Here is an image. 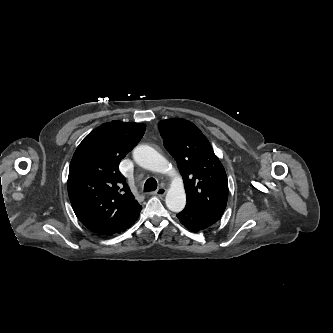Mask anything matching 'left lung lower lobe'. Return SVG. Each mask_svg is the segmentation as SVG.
I'll use <instances>...</instances> for the list:
<instances>
[{
  "label": "left lung lower lobe",
  "instance_id": "1",
  "mask_svg": "<svg viewBox=\"0 0 333 333\" xmlns=\"http://www.w3.org/2000/svg\"><path fill=\"white\" fill-rule=\"evenodd\" d=\"M222 215L215 213H208L196 210L192 207L185 206L183 211L177 214L180 222L190 231L198 232L206 229L212 224L216 223Z\"/></svg>",
  "mask_w": 333,
  "mask_h": 333
}]
</instances>
